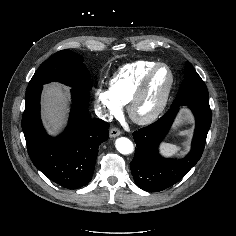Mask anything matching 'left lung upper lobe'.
<instances>
[{"instance_id": "5c2ea615", "label": "left lung upper lobe", "mask_w": 236, "mask_h": 236, "mask_svg": "<svg viewBox=\"0 0 236 236\" xmlns=\"http://www.w3.org/2000/svg\"><path fill=\"white\" fill-rule=\"evenodd\" d=\"M198 105L210 108L207 87L189 62L185 64L184 80L172 106Z\"/></svg>"}]
</instances>
